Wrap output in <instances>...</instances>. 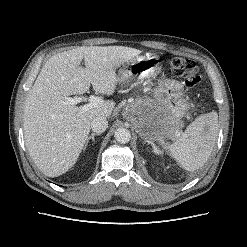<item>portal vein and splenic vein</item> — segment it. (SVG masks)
Wrapping results in <instances>:
<instances>
[{
    "instance_id": "1",
    "label": "portal vein and splenic vein",
    "mask_w": 247,
    "mask_h": 247,
    "mask_svg": "<svg viewBox=\"0 0 247 247\" xmlns=\"http://www.w3.org/2000/svg\"><path fill=\"white\" fill-rule=\"evenodd\" d=\"M81 101H82V98H80V97H75V98H71V97H70V98L67 99V102H68L69 104H72V105L78 104V103H80ZM102 102H103V100H102L100 97L91 95V96L89 97V103L86 104V105H84V106H82V107H81V110H82V111H87V110H89L90 108L97 107V106L101 105Z\"/></svg>"
}]
</instances>
